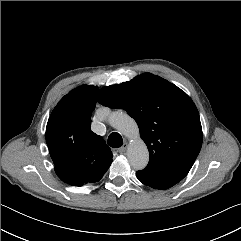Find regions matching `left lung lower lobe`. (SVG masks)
Here are the masks:
<instances>
[{
	"label": "left lung lower lobe",
	"instance_id": "1",
	"mask_svg": "<svg viewBox=\"0 0 241 241\" xmlns=\"http://www.w3.org/2000/svg\"><path fill=\"white\" fill-rule=\"evenodd\" d=\"M136 175L141 183L154 189H168L179 182V180L146 169L137 171Z\"/></svg>",
	"mask_w": 241,
	"mask_h": 241
}]
</instances>
